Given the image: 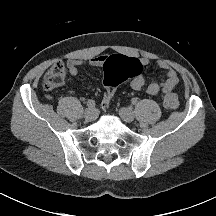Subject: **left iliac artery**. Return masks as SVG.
Returning <instances> with one entry per match:
<instances>
[{"instance_id":"left-iliac-artery-1","label":"left iliac artery","mask_w":216,"mask_h":216,"mask_svg":"<svg viewBox=\"0 0 216 216\" xmlns=\"http://www.w3.org/2000/svg\"><path fill=\"white\" fill-rule=\"evenodd\" d=\"M136 103H137V99H136V98H133V99H132V104L135 105Z\"/></svg>"}]
</instances>
